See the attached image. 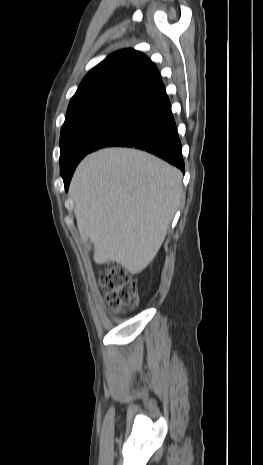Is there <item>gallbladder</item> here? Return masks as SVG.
<instances>
[{
  "instance_id": "1",
  "label": "gallbladder",
  "mask_w": 263,
  "mask_h": 465,
  "mask_svg": "<svg viewBox=\"0 0 263 465\" xmlns=\"http://www.w3.org/2000/svg\"><path fill=\"white\" fill-rule=\"evenodd\" d=\"M84 249L86 251H90L92 249V242L91 241H87L84 243Z\"/></svg>"
}]
</instances>
